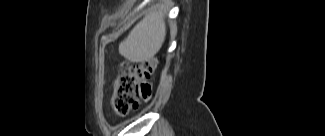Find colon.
Returning <instances> with one entry per match:
<instances>
[{
    "label": "colon",
    "mask_w": 325,
    "mask_h": 136,
    "mask_svg": "<svg viewBox=\"0 0 325 136\" xmlns=\"http://www.w3.org/2000/svg\"><path fill=\"white\" fill-rule=\"evenodd\" d=\"M154 60L121 68L112 82L110 105L114 113L124 116L136 108L139 101H146L152 92Z\"/></svg>",
    "instance_id": "obj_1"
}]
</instances>
